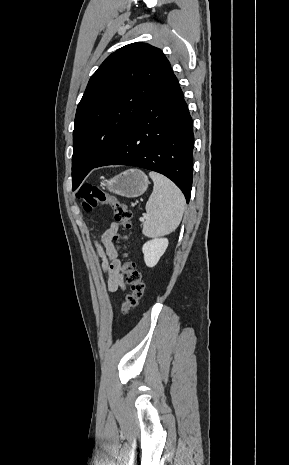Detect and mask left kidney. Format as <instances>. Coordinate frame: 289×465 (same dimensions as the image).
Wrapping results in <instances>:
<instances>
[{"instance_id":"5707ae66","label":"left kidney","mask_w":289,"mask_h":465,"mask_svg":"<svg viewBox=\"0 0 289 465\" xmlns=\"http://www.w3.org/2000/svg\"><path fill=\"white\" fill-rule=\"evenodd\" d=\"M168 247L167 238H155L147 241L143 247L144 261L148 267H154Z\"/></svg>"}]
</instances>
